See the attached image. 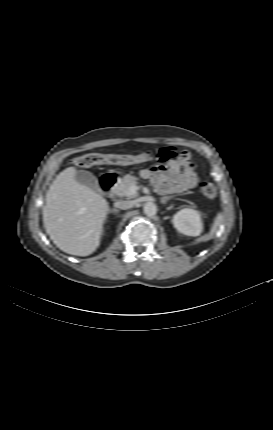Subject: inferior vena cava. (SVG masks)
I'll return each instance as SVG.
<instances>
[{
    "label": "inferior vena cava",
    "mask_w": 273,
    "mask_h": 430,
    "mask_svg": "<svg viewBox=\"0 0 273 430\" xmlns=\"http://www.w3.org/2000/svg\"><path fill=\"white\" fill-rule=\"evenodd\" d=\"M114 206L117 207V208H120L122 210H126V209L131 208L133 206V204H132L131 201H125V200L123 201V200H121V201L115 202Z\"/></svg>",
    "instance_id": "inferior-vena-cava-1"
}]
</instances>
